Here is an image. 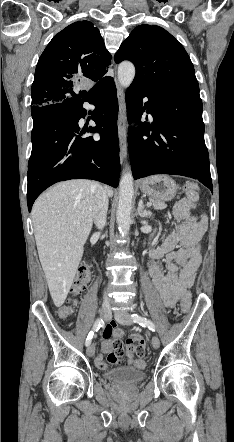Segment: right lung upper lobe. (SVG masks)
<instances>
[{"label":"right lung upper lobe","mask_w":234,"mask_h":442,"mask_svg":"<svg viewBox=\"0 0 234 442\" xmlns=\"http://www.w3.org/2000/svg\"><path fill=\"white\" fill-rule=\"evenodd\" d=\"M111 54L97 28L89 21L75 22L55 35L36 66L31 89L32 108L84 98L82 81L97 84L110 65ZM93 86V87H94Z\"/></svg>","instance_id":"right-lung-upper-lobe-1"}]
</instances>
